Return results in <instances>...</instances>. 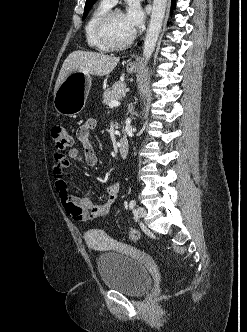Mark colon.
<instances>
[{
    "label": "colon",
    "instance_id": "obj_1",
    "mask_svg": "<svg viewBox=\"0 0 247 332\" xmlns=\"http://www.w3.org/2000/svg\"><path fill=\"white\" fill-rule=\"evenodd\" d=\"M51 134L57 150H65L72 145V137L65 126L60 124L53 126ZM127 238L132 242H137L140 239V233L136 229H129Z\"/></svg>",
    "mask_w": 247,
    "mask_h": 332
}]
</instances>
